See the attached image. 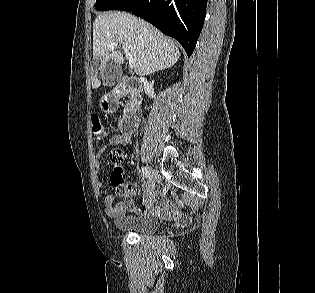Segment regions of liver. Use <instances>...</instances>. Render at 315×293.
<instances>
[{
	"label": "liver",
	"mask_w": 315,
	"mask_h": 293,
	"mask_svg": "<svg viewBox=\"0 0 315 293\" xmlns=\"http://www.w3.org/2000/svg\"><path fill=\"white\" fill-rule=\"evenodd\" d=\"M113 42L119 45L110 54L108 46ZM122 49H127L133 57L134 71L139 76L170 68L180 57L174 41L146 21L125 12L98 15L93 23L94 59L102 61L110 57L121 63ZM100 84V78H92L94 89Z\"/></svg>",
	"instance_id": "6515ba94"
}]
</instances>
